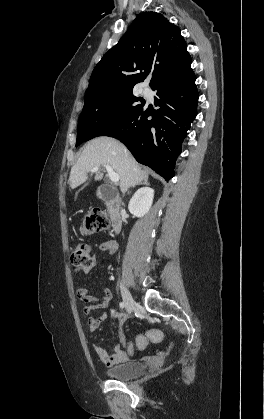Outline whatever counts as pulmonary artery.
Returning <instances> with one entry per match:
<instances>
[{"label": "pulmonary artery", "instance_id": "1", "mask_svg": "<svg viewBox=\"0 0 264 419\" xmlns=\"http://www.w3.org/2000/svg\"><path fill=\"white\" fill-rule=\"evenodd\" d=\"M143 93L147 94L148 93V89L147 88H143Z\"/></svg>", "mask_w": 264, "mask_h": 419}]
</instances>
